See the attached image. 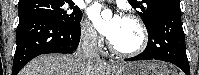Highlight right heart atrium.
<instances>
[{"label": "right heart atrium", "mask_w": 199, "mask_h": 75, "mask_svg": "<svg viewBox=\"0 0 199 75\" xmlns=\"http://www.w3.org/2000/svg\"><path fill=\"white\" fill-rule=\"evenodd\" d=\"M81 35L85 42L96 45L99 43L100 38L94 25L87 19L82 22Z\"/></svg>", "instance_id": "1"}]
</instances>
